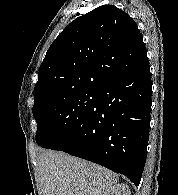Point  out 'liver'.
<instances>
[{"label": "liver", "mask_w": 178, "mask_h": 195, "mask_svg": "<svg viewBox=\"0 0 178 195\" xmlns=\"http://www.w3.org/2000/svg\"><path fill=\"white\" fill-rule=\"evenodd\" d=\"M38 172L42 195H103L119 179L102 166L55 151L38 156Z\"/></svg>", "instance_id": "obj_1"}]
</instances>
